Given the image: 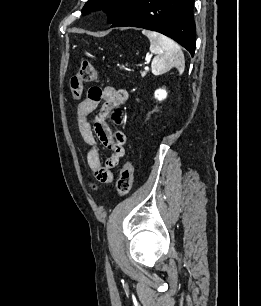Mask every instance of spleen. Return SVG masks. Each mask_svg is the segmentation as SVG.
Returning <instances> with one entry per match:
<instances>
[{
	"label": "spleen",
	"instance_id": "1",
	"mask_svg": "<svg viewBox=\"0 0 261 306\" xmlns=\"http://www.w3.org/2000/svg\"><path fill=\"white\" fill-rule=\"evenodd\" d=\"M142 33L150 40V51L155 55L151 64L152 73L161 75L175 67L179 74H182L185 69V59L180 46L158 32L143 30Z\"/></svg>",
	"mask_w": 261,
	"mask_h": 306
}]
</instances>
